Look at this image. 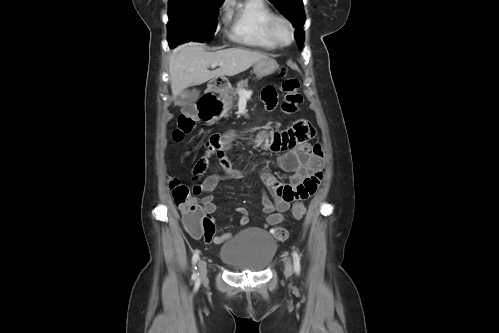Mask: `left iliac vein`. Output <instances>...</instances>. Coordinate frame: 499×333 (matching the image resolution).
I'll return each mask as SVG.
<instances>
[{"instance_id":"left-iliac-vein-1","label":"left iliac vein","mask_w":499,"mask_h":333,"mask_svg":"<svg viewBox=\"0 0 499 333\" xmlns=\"http://www.w3.org/2000/svg\"><path fill=\"white\" fill-rule=\"evenodd\" d=\"M293 271V266L290 258H287L285 261V274L287 276H291Z\"/></svg>"}]
</instances>
